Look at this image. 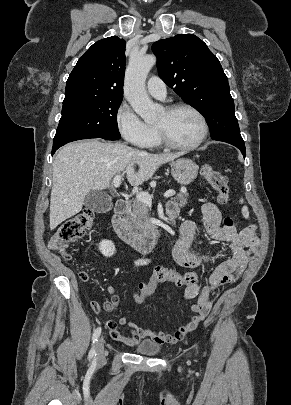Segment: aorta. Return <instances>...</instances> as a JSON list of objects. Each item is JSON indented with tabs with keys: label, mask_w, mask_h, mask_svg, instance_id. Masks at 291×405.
Here are the masks:
<instances>
[{
	"label": "aorta",
	"mask_w": 291,
	"mask_h": 405,
	"mask_svg": "<svg viewBox=\"0 0 291 405\" xmlns=\"http://www.w3.org/2000/svg\"><path fill=\"white\" fill-rule=\"evenodd\" d=\"M155 63L154 55L134 54L130 57L125 73V97L134 111L147 123L154 121L160 111L145 89L147 75Z\"/></svg>",
	"instance_id": "762f6f07"
}]
</instances>
